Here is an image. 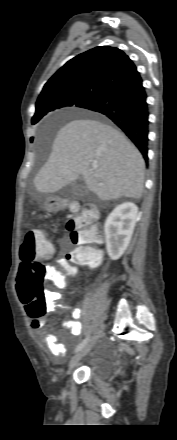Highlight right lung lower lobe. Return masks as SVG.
<instances>
[{"mask_svg":"<svg viewBox=\"0 0 177 440\" xmlns=\"http://www.w3.org/2000/svg\"><path fill=\"white\" fill-rule=\"evenodd\" d=\"M146 98L142 78L139 75L110 91L86 109L110 118L134 142L147 161L149 111Z\"/></svg>","mask_w":177,"mask_h":440,"instance_id":"obj_1","label":"right lung lower lobe"}]
</instances>
